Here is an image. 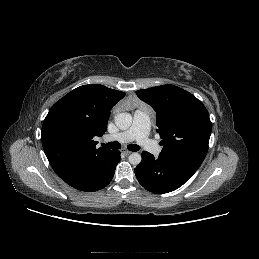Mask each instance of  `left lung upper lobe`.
<instances>
[{
	"label": "left lung upper lobe",
	"mask_w": 259,
	"mask_h": 259,
	"mask_svg": "<svg viewBox=\"0 0 259 259\" xmlns=\"http://www.w3.org/2000/svg\"><path fill=\"white\" fill-rule=\"evenodd\" d=\"M156 111L160 154L199 165L208 151L212 123L203 103L191 93L166 84L136 91Z\"/></svg>",
	"instance_id": "left-lung-upper-lobe-1"
}]
</instances>
